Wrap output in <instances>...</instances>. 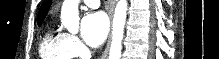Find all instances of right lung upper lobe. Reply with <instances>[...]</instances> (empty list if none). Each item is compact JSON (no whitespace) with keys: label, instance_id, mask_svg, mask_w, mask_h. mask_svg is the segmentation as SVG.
<instances>
[{"label":"right lung upper lobe","instance_id":"obj_1","mask_svg":"<svg viewBox=\"0 0 219 59\" xmlns=\"http://www.w3.org/2000/svg\"><path fill=\"white\" fill-rule=\"evenodd\" d=\"M50 5H51V0H44L37 16V24H42L49 10Z\"/></svg>","mask_w":219,"mask_h":59}]
</instances>
